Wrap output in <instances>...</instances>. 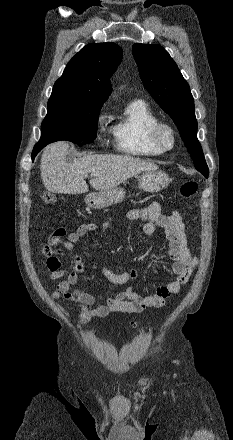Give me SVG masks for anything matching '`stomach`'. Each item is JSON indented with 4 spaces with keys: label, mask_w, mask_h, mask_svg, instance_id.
<instances>
[{
    "label": "stomach",
    "mask_w": 233,
    "mask_h": 440,
    "mask_svg": "<svg viewBox=\"0 0 233 440\" xmlns=\"http://www.w3.org/2000/svg\"><path fill=\"white\" fill-rule=\"evenodd\" d=\"M137 178L139 187L147 192H158L165 189L170 183L169 176L158 169L145 171ZM124 197V189L117 186L106 191L88 194L85 197V203L92 209H103L122 202Z\"/></svg>",
    "instance_id": "0dacf381"
}]
</instances>
